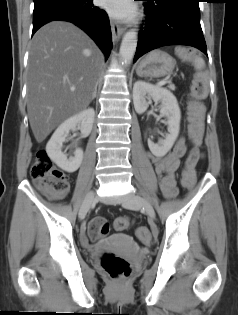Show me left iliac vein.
Wrapping results in <instances>:
<instances>
[{
  "label": "left iliac vein",
  "mask_w": 238,
  "mask_h": 315,
  "mask_svg": "<svg viewBox=\"0 0 238 315\" xmlns=\"http://www.w3.org/2000/svg\"><path fill=\"white\" fill-rule=\"evenodd\" d=\"M122 206L128 209L142 207L150 220L155 219V211L150 202L138 194H130L122 198Z\"/></svg>",
  "instance_id": "obj_1"
}]
</instances>
